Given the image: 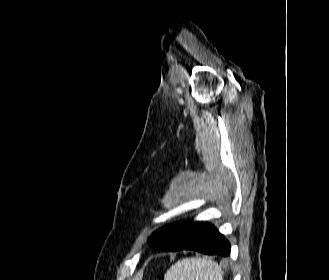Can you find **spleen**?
Segmentation results:
<instances>
[{"label": "spleen", "instance_id": "obj_1", "mask_svg": "<svg viewBox=\"0 0 329 280\" xmlns=\"http://www.w3.org/2000/svg\"><path fill=\"white\" fill-rule=\"evenodd\" d=\"M164 280H223V272L214 261L203 258H184L170 267Z\"/></svg>", "mask_w": 329, "mask_h": 280}]
</instances>
